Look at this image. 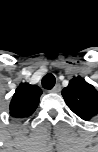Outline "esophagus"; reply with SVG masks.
Segmentation results:
<instances>
[{
	"mask_svg": "<svg viewBox=\"0 0 98 152\" xmlns=\"http://www.w3.org/2000/svg\"><path fill=\"white\" fill-rule=\"evenodd\" d=\"M61 91V85L58 83L54 86V88L52 89L53 93H59Z\"/></svg>",
	"mask_w": 98,
	"mask_h": 152,
	"instance_id": "esophagus-1",
	"label": "esophagus"
}]
</instances>
